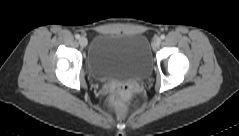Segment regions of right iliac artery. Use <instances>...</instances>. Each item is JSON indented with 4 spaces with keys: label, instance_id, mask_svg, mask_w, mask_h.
Listing matches in <instances>:
<instances>
[{
    "label": "right iliac artery",
    "instance_id": "obj_1",
    "mask_svg": "<svg viewBox=\"0 0 239 136\" xmlns=\"http://www.w3.org/2000/svg\"><path fill=\"white\" fill-rule=\"evenodd\" d=\"M75 37H76V39H79V38H80V35H79V34H76Z\"/></svg>",
    "mask_w": 239,
    "mask_h": 136
}]
</instances>
